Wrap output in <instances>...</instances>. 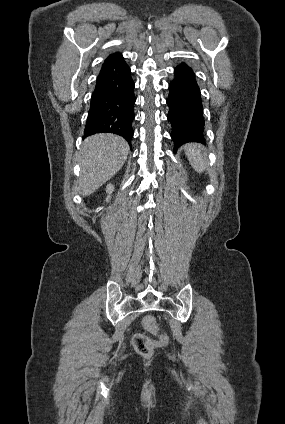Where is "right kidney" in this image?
<instances>
[{"instance_id":"ca27d5eb","label":"right kidney","mask_w":285,"mask_h":424,"mask_svg":"<svg viewBox=\"0 0 285 424\" xmlns=\"http://www.w3.org/2000/svg\"><path fill=\"white\" fill-rule=\"evenodd\" d=\"M113 190H114V185L113 184H108L107 185V188H106V192H107V194H108V196H107V198H106V201H109L110 200V198H111V193L113 192Z\"/></svg>"}]
</instances>
